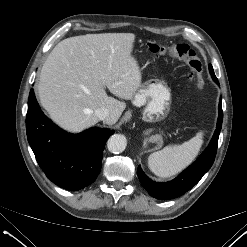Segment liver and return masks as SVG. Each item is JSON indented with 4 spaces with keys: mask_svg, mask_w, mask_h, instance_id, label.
Segmentation results:
<instances>
[{
    "mask_svg": "<svg viewBox=\"0 0 247 247\" xmlns=\"http://www.w3.org/2000/svg\"><path fill=\"white\" fill-rule=\"evenodd\" d=\"M135 34L103 33L70 37L59 42L43 64L38 84L40 103L64 130L77 133L95 125V110L105 107L109 125L126 105L107 95L132 100L142 74L131 55Z\"/></svg>",
    "mask_w": 247,
    "mask_h": 247,
    "instance_id": "6515ba94",
    "label": "liver"
}]
</instances>
